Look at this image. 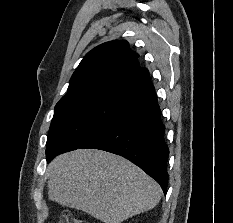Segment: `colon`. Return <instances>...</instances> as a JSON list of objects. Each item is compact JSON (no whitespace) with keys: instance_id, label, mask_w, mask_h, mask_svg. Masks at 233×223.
<instances>
[{"instance_id":"obj_1","label":"colon","mask_w":233,"mask_h":223,"mask_svg":"<svg viewBox=\"0 0 233 223\" xmlns=\"http://www.w3.org/2000/svg\"><path fill=\"white\" fill-rule=\"evenodd\" d=\"M63 223H88V222L85 220H73L72 214L68 210H64Z\"/></svg>"}]
</instances>
